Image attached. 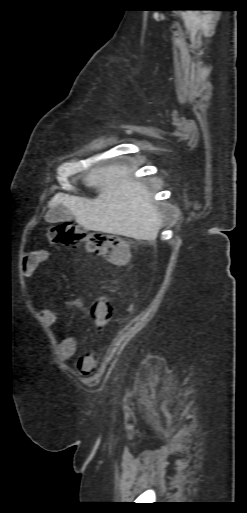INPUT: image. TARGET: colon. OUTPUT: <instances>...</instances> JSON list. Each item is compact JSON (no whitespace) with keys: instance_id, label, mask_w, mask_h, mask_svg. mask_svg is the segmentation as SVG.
<instances>
[{"instance_id":"1","label":"colon","mask_w":247,"mask_h":513,"mask_svg":"<svg viewBox=\"0 0 247 513\" xmlns=\"http://www.w3.org/2000/svg\"><path fill=\"white\" fill-rule=\"evenodd\" d=\"M48 237L63 244H83L90 252L105 256L116 266H128L132 260V252L125 240L111 234L90 233L74 223L64 222L52 226ZM90 313L96 328H107L111 322L113 304L110 300H93Z\"/></svg>"}]
</instances>
